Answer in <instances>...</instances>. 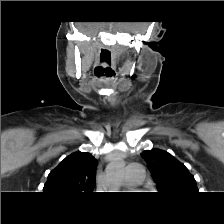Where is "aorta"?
<instances>
[{
	"mask_svg": "<svg viewBox=\"0 0 224 224\" xmlns=\"http://www.w3.org/2000/svg\"><path fill=\"white\" fill-rule=\"evenodd\" d=\"M125 163L121 157L113 158L106 168L109 189L116 192L124 177Z\"/></svg>",
	"mask_w": 224,
	"mask_h": 224,
	"instance_id": "762f6f07",
	"label": "aorta"
}]
</instances>
